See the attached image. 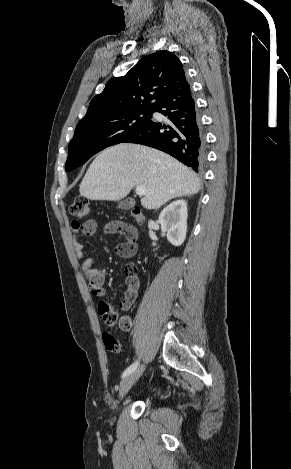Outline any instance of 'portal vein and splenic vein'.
Wrapping results in <instances>:
<instances>
[{
  "label": "portal vein and splenic vein",
  "mask_w": 291,
  "mask_h": 469,
  "mask_svg": "<svg viewBox=\"0 0 291 469\" xmlns=\"http://www.w3.org/2000/svg\"><path fill=\"white\" fill-rule=\"evenodd\" d=\"M135 192L137 195L142 196L146 194L147 190L144 186H137Z\"/></svg>",
  "instance_id": "18ae733b"
}]
</instances>
